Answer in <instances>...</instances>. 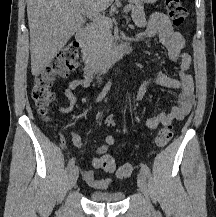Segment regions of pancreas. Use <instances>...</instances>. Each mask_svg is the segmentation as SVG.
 Wrapping results in <instances>:
<instances>
[{
    "mask_svg": "<svg viewBox=\"0 0 216 217\" xmlns=\"http://www.w3.org/2000/svg\"><path fill=\"white\" fill-rule=\"evenodd\" d=\"M129 3L134 23L138 27H145L147 22L144 7L138 0H129ZM112 23L113 21L110 18L104 17L100 21H93L87 28L89 46L99 56L105 55L112 46Z\"/></svg>",
    "mask_w": 216,
    "mask_h": 217,
    "instance_id": "1",
    "label": "pancreas"
}]
</instances>
